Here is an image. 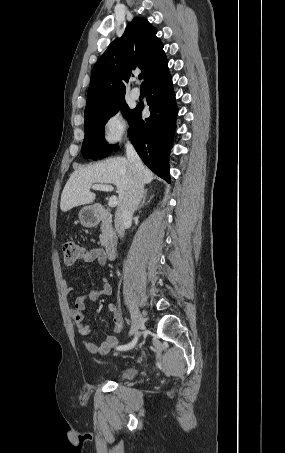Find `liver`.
<instances>
[{"label":"liver","instance_id":"6515ba94","mask_svg":"<svg viewBox=\"0 0 285 453\" xmlns=\"http://www.w3.org/2000/svg\"><path fill=\"white\" fill-rule=\"evenodd\" d=\"M153 173L143 169L144 184L153 180ZM132 169L124 157H113L102 162L75 170L68 179L61 194L62 212L95 201L96 195L90 192L94 184H114L119 194V204L128 192Z\"/></svg>","mask_w":285,"mask_h":453}]
</instances>
